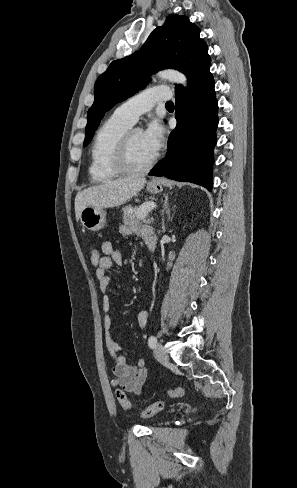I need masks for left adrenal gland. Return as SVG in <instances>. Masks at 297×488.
<instances>
[{
  "mask_svg": "<svg viewBox=\"0 0 297 488\" xmlns=\"http://www.w3.org/2000/svg\"><path fill=\"white\" fill-rule=\"evenodd\" d=\"M164 210H166V214L168 215L170 219V209H169V203H168V198H166L165 203H164Z\"/></svg>",
  "mask_w": 297,
  "mask_h": 488,
  "instance_id": "a2214340",
  "label": "left adrenal gland"
}]
</instances>
